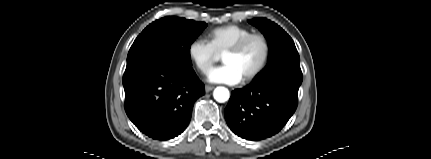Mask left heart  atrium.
Listing matches in <instances>:
<instances>
[{
	"label": "left heart atrium",
	"instance_id": "left-heart-atrium-1",
	"mask_svg": "<svg viewBox=\"0 0 431 159\" xmlns=\"http://www.w3.org/2000/svg\"><path fill=\"white\" fill-rule=\"evenodd\" d=\"M239 72L229 64L213 68L208 74V81L227 85H236L242 81Z\"/></svg>",
	"mask_w": 431,
	"mask_h": 159
}]
</instances>
